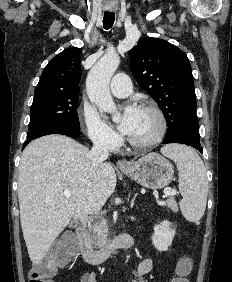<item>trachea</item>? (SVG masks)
Wrapping results in <instances>:
<instances>
[{
  "instance_id": "1",
  "label": "trachea",
  "mask_w": 232,
  "mask_h": 282,
  "mask_svg": "<svg viewBox=\"0 0 232 282\" xmlns=\"http://www.w3.org/2000/svg\"><path fill=\"white\" fill-rule=\"evenodd\" d=\"M114 20H115L114 13L105 12L103 18V27L107 30L110 29L113 26Z\"/></svg>"
}]
</instances>
